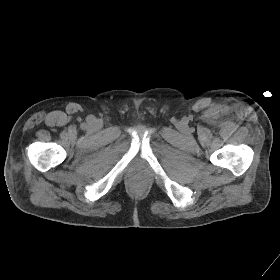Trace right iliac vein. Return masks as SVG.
Instances as JSON below:
<instances>
[{
    "mask_svg": "<svg viewBox=\"0 0 280 280\" xmlns=\"http://www.w3.org/2000/svg\"><path fill=\"white\" fill-rule=\"evenodd\" d=\"M101 126H102V123H101L100 121H98V120H94V121H92V123H91V128H92L93 130H98V129L101 128Z\"/></svg>",
    "mask_w": 280,
    "mask_h": 280,
    "instance_id": "right-iliac-vein-1",
    "label": "right iliac vein"
}]
</instances>
